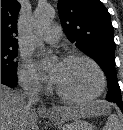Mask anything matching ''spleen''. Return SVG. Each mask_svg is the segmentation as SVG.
I'll return each instance as SVG.
<instances>
[{
    "label": "spleen",
    "mask_w": 123,
    "mask_h": 130,
    "mask_svg": "<svg viewBox=\"0 0 123 130\" xmlns=\"http://www.w3.org/2000/svg\"><path fill=\"white\" fill-rule=\"evenodd\" d=\"M104 130H123L117 115L111 114L105 124Z\"/></svg>",
    "instance_id": "1"
}]
</instances>
